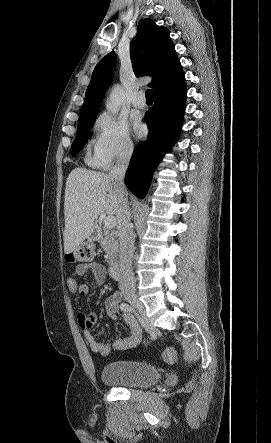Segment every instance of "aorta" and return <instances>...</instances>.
Instances as JSON below:
<instances>
[{
    "mask_svg": "<svg viewBox=\"0 0 271 443\" xmlns=\"http://www.w3.org/2000/svg\"><path fill=\"white\" fill-rule=\"evenodd\" d=\"M124 100L125 94L122 86H120V84H115L114 88H112L110 98L106 102V110H108V112H112V114H117Z\"/></svg>",
    "mask_w": 271,
    "mask_h": 443,
    "instance_id": "1",
    "label": "aorta"
}]
</instances>
